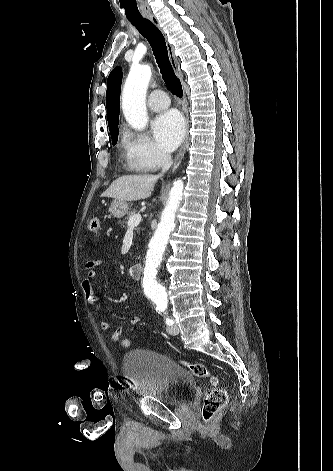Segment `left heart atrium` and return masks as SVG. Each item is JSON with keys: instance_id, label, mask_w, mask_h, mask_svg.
I'll return each instance as SVG.
<instances>
[{"instance_id": "left-heart-atrium-1", "label": "left heart atrium", "mask_w": 333, "mask_h": 471, "mask_svg": "<svg viewBox=\"0 0 333 471\" xmlns=\"http://www.w3.org/2000/svg\"><path fill=\"white\" fill-rule=\"evenodd\" d=\"M153 132L158 145L165 151H172L184 136L185 123L179 112L170 110L154 120Z\"/></svg>"}]
</instances>
